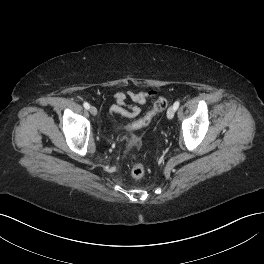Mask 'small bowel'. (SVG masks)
<instances>
[{"label":"small bowel","instance_id":"obj_1","mask_svg":"<svg viewBox=\"0 0 264 264\" xmlns=\"http://www.w3.org/2000/svg\"><path fill=\"white\" fill-rule=\"evenodd\" d=\"M158 96V92L149 91H118L115 93V104L110 108L111 113H118L128 118H134L140 114V108L137 105L126 104L129 98L135 104H144L148 99Z\"/></svg>","mask_w":264,"mask_h":264}]
</instances>
